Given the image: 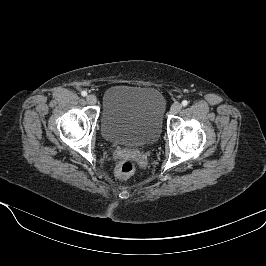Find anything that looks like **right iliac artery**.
I'll return each instance as SVG.
<instances>
[{"instance_id":"82829eb1","label":"right iliac artery","mask_w":266,"mask_h":266,"mask_svg":"<svg viewBox=\"0 0 266 266\" xmlns=\"http://www.w3.org/2000/svg\"><path fill=\"white\" fill-rule=\"evenodd\" d=\"M81 95H82L83 97H85V96H87V92H86V91H82V92H81Z\"/></svg>"}]
</instances>
